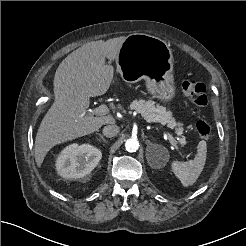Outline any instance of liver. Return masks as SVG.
Wrapping results in <instances>:
<instances>
[{
	"label": "liver",
	"instance_id": "1",
	"mask_svg": "<svg viewBox=\"0 0 246 246\" xmlns=\"http://www.w3.org/2000/svg\"><path fill=\"white\" fill-rule=\"evenodd\" d=\"M126 37L92 41L70 53L58 66L53 86L55 100L44 116L35 139L34 155L38 167L57 144L76 139L105 124H114L111 115L94 116L88 112L90 97L107 92L114 82L112 65ZM121 108V106H119Z\"/></svg>",
	"mask_w": 246,
	"mask_h": 246
}]
</instances>
